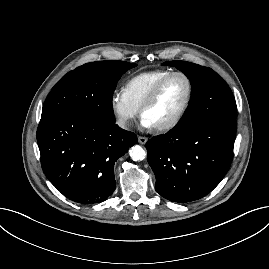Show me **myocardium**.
Segmentation results:
<instances>
[{
    "instance_id": "obj_1",
    "label": "myocardium",
    "mask_w": 269,
    "mask_h": 269,
    "mask_svg": "<svg viewBox=\"0 0 269 269\" xmlns=\"http://www.w3.org/2000/svg\"><path fill=\"white\" fill-rule=\"evenodd\" d=\"M175 76H181L183 77L188 84V95H187V99L185 104L183 105L182 109L179 111V113L170 121H168L167 123L158 125V126H154V129L156 131L159 132H165V131H169L173 128H175L184 118V116L186 115L187 111L190 108L191 102L193 100V95H194V85L193 82L191 80V78L184 72L181 71H175V72H171L168 75H166L164 78H162L152 89V91L150 92V94L148 95V97L145 99V101L143 102V104L141 105L139 112L141 117H143L145 111L147 109H149L154 102L157 100L163 86L166 84V82L171 79L172 77Z\"/></svg>"
}]
</instances>
